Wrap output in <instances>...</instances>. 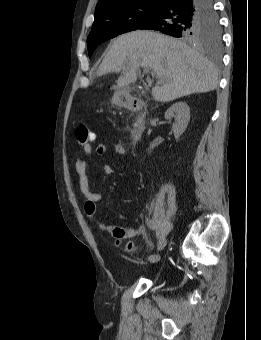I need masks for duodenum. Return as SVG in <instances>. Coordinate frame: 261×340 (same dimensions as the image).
Returning a JSON list of instances; mask_svg holds the SVG:
<instances>
[{
  "instance_id": "obj_1",
  "label": "duodenum",
  "mask_w": 261,
  "mask_h": 340,
  "mask_svg": "<svg viewBox=\"0 0 261 340\" xmlns=\"http://www.w3.org/2000/svg\"><path fill=\"white\" fill-rule=\"evenodd\" d=\"M130 109L139 112L142 109V105L138 100H134L130 104ZM145 126V120L143 115L141 114L137 120L133 123L131 128V135H132V141L135 142L137 138L143 133Z\"/></svg>"
}]
</instances>
